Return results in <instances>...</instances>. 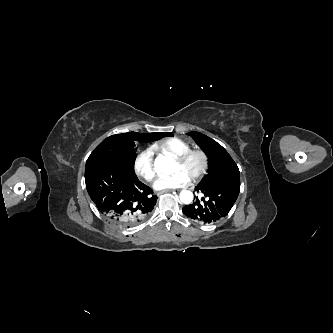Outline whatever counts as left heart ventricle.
<instances>
[{"instance_id": "left-heart-ventricle-1", "label": "left heart ventricle", "mask_w": 333, "mask_h": 333, "mask_svg": "<svg viewBox=\"0 0 333 333\" xmlns=\"http://www.w3.org/2000/svg\"><path fill=\"white\" fill-rule=\"evenodd\" d=\"M201 167V160L199 157L195 156L192 157L186 164H179L178 162H175V171H183L185 172L190 178L194 176Z\"/></svg>"}]
</instances>
